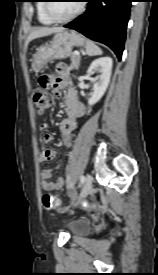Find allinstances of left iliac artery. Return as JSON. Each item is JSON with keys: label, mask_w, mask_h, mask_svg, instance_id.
I'll return each mask as SVG.
<instances>
[{"label": "left iliac artery", "mask_w": 158, "mask_h": 275, "mask_svg": "<svg viewBox=\"0 0 158 275\" xmlns=\"http://www.w3.org/2000/svg\"><path fill=\"white\" fill-rule=\"evenodd\" d=\"M84 181H85V177H84V176H81V177H80V182H81V184H83Z\"/></svg>", "instance_id": "obj_1"}]
</instances>
